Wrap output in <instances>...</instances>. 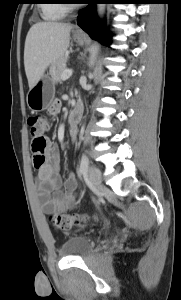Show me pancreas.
Returning a JSON list of instances; mask_svg holds the SVG:
<instances>
[{
    "label": "pancreas",
    "instance_id": "pancreas-1",
    "mask_svg": "<svg viewBox=\"0 0 181 300\" xmlns=\"http://www.w3.org/2000/svg\"><path fill=\"white\" fill-rule=\"evenodd\" d=\"M68 56L64 55L58 60H56L50 67V75L55 83L62 80V74L66 70L65 65Z\"/></svg>",
    "mask_w": 181,
    "mask_h": 300
}]
</instances>
